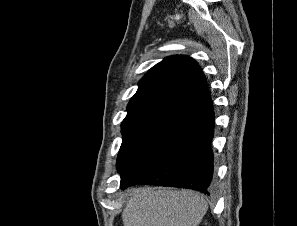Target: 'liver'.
<instances>
[{"label": "liver", "instance_id": "liver-1", "mask_svg": "<svg viewBox=\"0 0 297 226\" xmlns=\"http://www.w3.org/2000/svg\"><path fill=\"white\" fill-rule=\"evenodd\" d=\"M207 209L203 196L193 191L135 189L122 220L124 226H198Z\"/></svg>", "mask_w": 297, "mask_h": 226}]
</instances>
